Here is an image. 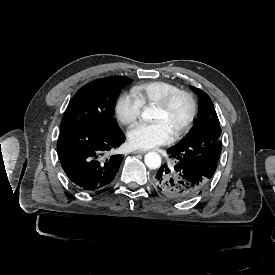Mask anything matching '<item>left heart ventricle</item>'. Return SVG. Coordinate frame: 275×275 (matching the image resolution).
I'll use <instances>...</instances> for the list:
<instances>
[{
	"instance_id": "left-heart-ventricle-1",
	"label": "left heart ventricle",
	"mask_w": 275,
	"mask_h": 275,
	"mask_svg": "<svg viewBox=\"0 0 275 275\" xmlns=\"http://www.w3.org/2000/svg\"><path fill=\"white\" fill-rule=\"evenodd\" d=\"M189 104L183 97H178L168 109L153 105L152 121L161 122L173 135L187 121Z\"/></svg>"
}]
</instances>
